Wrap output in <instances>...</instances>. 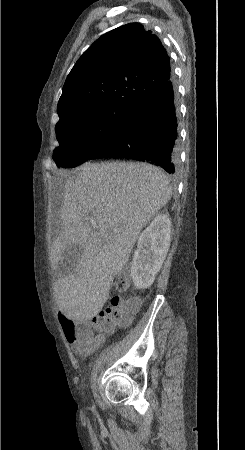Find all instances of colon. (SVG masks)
I'll use <instances>...</instances> for the list:
<instances>
[{"mask_svg":"<svg viewBox=\"0 0 245 450\" xmlns=\"http://www.w3.org/2000/svg\"><path fill=\"white\" fill-rule=\"evenodd\" d=\"M130 281V275L120 273L114 280V288L117 292H123L127 289ZM121 303V298L114 296L111 299V307L100 311L98 317L93 321L75 320L70 316L63 315L59 318L61 329L68 340L73 338L78 341H89L93 336V328L100 327L111 331L116 327H126L130 323L131 316L138 310L139 303L136 298L124 302L121 311L115 308Z\"/></svg>","mask_w":245,"mask_h":450,"instance_id":"5ec220e1","label":"colon"}]
</instances>
